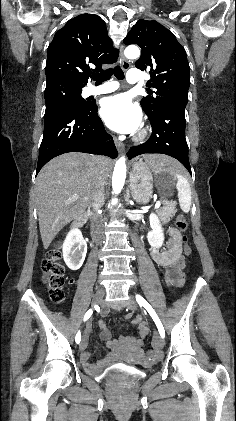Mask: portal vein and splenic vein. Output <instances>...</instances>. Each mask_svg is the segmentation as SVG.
Masks as SVG:
<instances>
[{
  "label": "portal vein and splenic vein",
  "mask_w": 236,
  "mask_h": 421,
  "mask_svg": "<svg viewBox=\"0 0 236 421\" xmlns=\"http://www.w3.org/2000/svg\"><path fill=\"white\" fill-rule=\"evenodd\" d=\"M71 198H72V200H77L78 194H72ZM160 205H161L160 200H157V202L155 204V208H159Z\"/></svg>",
  "instance_id": "1"
}]
</instances>
